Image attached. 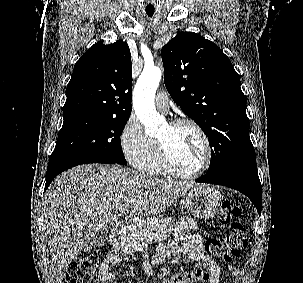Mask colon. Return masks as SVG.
<instances>
[{
	"label": "colon",
	"instance_id": "5ec220e1",
	"mask_svg": "<svg viewBox=\"0 0 303 283\" xmlns=\"http://www.w3.org/2000/svg\"><path fill=\"white\" fill-rule=\"evenodd\" d=\"M241 209L230 201L221 204L220 221L228 225L229 230L222 235L209 238L205 246L215 254L222 262H231L238 257L247 245L246 233L243 225L238 221ZM102 257L98 249L89 250L70 263L65 283H96L97 267ZM203 271L198 269L185 275L177 276L175 283H190L194 279H200Z\"/></svg>",
	"mask_w": 303,
	"mask_h": 283
}]
</instances>
